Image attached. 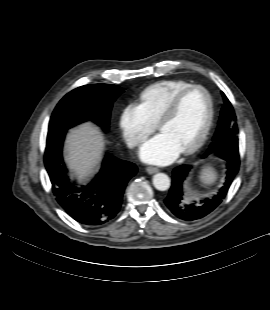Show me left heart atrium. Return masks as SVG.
Listing matches in <instances>:
<instances>
[{"label":"left heart atrium","instance_id":"1","mask_svg":"<svg viewBox=\"0 0 270 310\" xmlns=\"http://www.w3.org/2000/svg\"><path fill=\"white\" fill-rule=\"evenodd\" d=\"M180 153L181 151L164 133L147 140L140 149L141 159L153 164H168Z\"/></svg>","mask_w":270,"mask_h":310}]
</instances>
